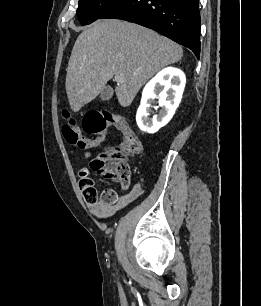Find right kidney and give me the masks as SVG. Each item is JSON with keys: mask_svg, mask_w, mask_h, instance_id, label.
I'll return each instance as SVG.
<instances>
[{"mask_svg": "<svg viewBox=\"0 0 261 306\" xmlns=\"http://www.w3.org/2000/svg\"><path fill=\"white\" fill-rule=\"evenodd\" d=\"M185 83V74L180 69L167 67L146 84L136 114L137 125L142 131L153 134L171 120L181 102ZM156 98L162 109L149 118V108Z\"/></svg>", "mask_w": 261, "mask_h": 306, "instance_id": "1", "label": "right kidney"}]
</instances>
